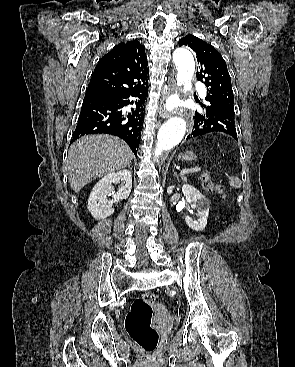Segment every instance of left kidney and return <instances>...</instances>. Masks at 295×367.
Here are the masks:
<instances>
[{
	"label": "left kidney",
	"mask_w": 295,
	"mask_h": 367,
	"mask_svg": "<svg viewBox=\"0 0 295 367\" xmlns=\"http://www.w3.org/2000/svg\"><path fill=\"white\" fill-rule=\"evenodd\" d=\"M173 189L174 186L168 187L167 193L171 194ZM182 192L188 203H194L198 216L196 220L191 219L189 216H185L186 224L195 231L203 230L207 225L210 201L202 195L199 190L189 184L183 185Z\"/></svg>",
	"instance_id": "left-kidney-1"
}]
</instances>
